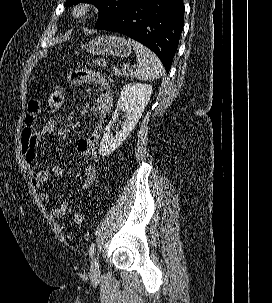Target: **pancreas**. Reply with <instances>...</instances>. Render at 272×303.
<instances>
[{
    "label": "pancreas",
    "instance_id": "1",
    "mask_svg": "<svg viewBox=\"0 0 272 303\" xmlns=\"http://www.w3.org/2000/svg\"><path fill=\"white\" fill-rule=\"evenodd\" d=\"M113 73H114L115 75H118V76L121 75V72H120L118 69H113ZM122 75H125V76H127V77H131V76H132V74H131L130 72H126V71H123V72H122Z\"/></svg>",
    "mask_w": 272,
    "mask_h": 303
}]
</instances>
